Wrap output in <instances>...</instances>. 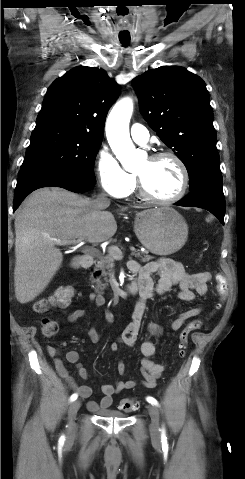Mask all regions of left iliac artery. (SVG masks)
Here are the masks:
<instances>
[{
	"mask_svg": "<svg viewBox=\"0 0 245 479\" xmlns=\"http://www.w3.org/2000/svg\"><path fill=\"white\" fill-rule=\"evenodd\" d=\"M146 400L151 403L152 405H155V406H158V402L155 398L153 397H147ZM162 434H161V437H162V440L165 441L167 438H166V434H165V429L162 428Z\"/></svg>",
	"mask_w": 245,
	"mask_h": 479,
	"instance_id": "44dca946",
	"label": "left iliac artery"
}]
</instances>
